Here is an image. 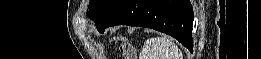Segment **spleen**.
Here are the masks:
<instances>
[{
    "label": "spleen",
    "mask_w": 261,
    "mask_h": 59,
    "mask_svg": "<svg viewBox=\"0 0 261 59\" xmlns=\"http://www.w3.org/2000/svg\"><path fill=\"white\" fill-rule=\"evenodd\" d=\"M182 52L169 38L148 39L140 53V59H181Z\"/></svg>",
    "instance_id": "spleen-1"
}]
</instances>
